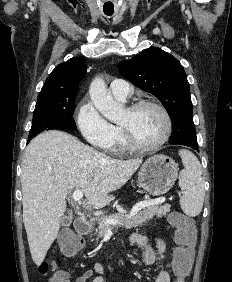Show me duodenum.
Wrapping results in <instances>:
<instances>
[{"instance_id":"obj_1","label":"duodenum","mask_w":232,"mask_h":282,"mask_svg":"<svg viewBox=\"0 0 232 282\" xmlns=\"http://www.w3.org/2000/svg\"><path fill=\"white\" fill-rule=\"evenodd\" d=\"M74 228L80 235H85L90 229L89 221L84 217H79L75 220Z\"/></svg>"}]
</instances>
